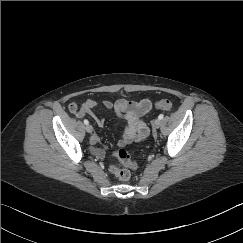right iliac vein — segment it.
I'll use <instances>...</instances> for the list:
<instances>
[{
    "instance_id": "obj_1",
    "label": "right iliac vein",
    "mask_w": 243,
    "mask_h": 243,
    "mask_svg": "<svg viewBox=\"0 0 243 243\" xmlns=\"http://www.w3.org/2000/svg\"><path fill=\"white\" fill-rule=\"evenodd\" d=\"M86 131H87L88 133H92V131H93V127H92L90 124L86 125Z\"/></svg>"
}]
</instances>
